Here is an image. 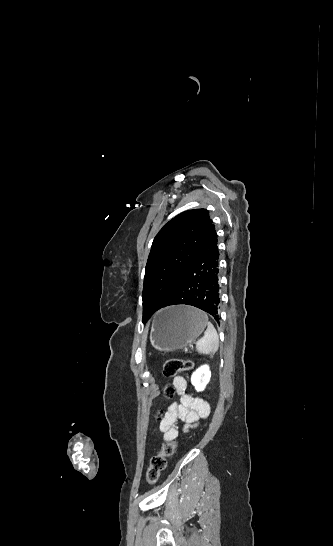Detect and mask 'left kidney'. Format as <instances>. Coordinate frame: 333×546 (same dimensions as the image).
<instances>
[{
  "label": "left kidney",
  "mask_w": 333,
  "mask_h": 546,
  "mask_svg": "<svg viewBox=\"0 0 333 546\" xmlns=\"http://www.w3.org/2000/svg\"><path fill=\"white\" fill-rule=\"evenodd\" d=\"M211 377L208 365H202L191 376V383L197 391H203Z\"/></svg>",
  "instance_id": "5707ae66"
}]
</instances>
